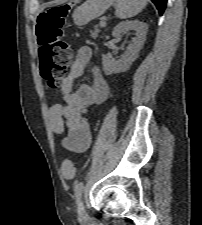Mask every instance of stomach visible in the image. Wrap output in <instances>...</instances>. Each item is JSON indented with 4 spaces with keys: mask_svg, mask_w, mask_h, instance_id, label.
Listing matches in <instances>:
<instances>
[{
    "mask_svg": "<svg viewBox=\"0 0 202 225\" xmlns=\"http://www.w3.org/2000/svg\"><path fill=\"white\" fill-rule=\"evenodd\" d=\"M113 2L114 0H86L74 10L72 14L74 24L76 26L88 24L103 15Z\"/></svg>",
    "mask_w": 202,
    "mask_h": 225,
    "instance_id": "1",
    "label": "stomach"
}]
</instances>
